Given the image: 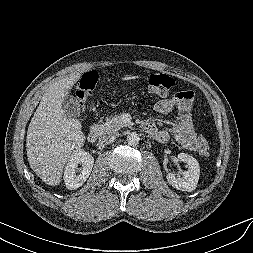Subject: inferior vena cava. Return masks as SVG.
<instances>
[{"instance_id":"obj_1","label":"inferior vena cava","mask_w":253,"mask_h":253,"mask_svg":"<svg viewBox=\"0 0 253 253\" xmlns=\"http://www.w3.org/2000/svg\"><path fill=\"white\" fill-rule=\"evenodd\" d=\"M119 136V133L117 132H113V133H109V134H105L100 138V142L104 143V144H109L111 142H113L114 140H116V138Z\"/></svg>"}]
</instances>
